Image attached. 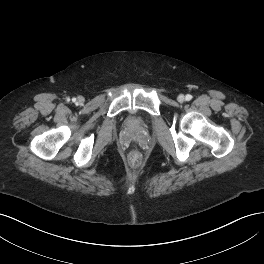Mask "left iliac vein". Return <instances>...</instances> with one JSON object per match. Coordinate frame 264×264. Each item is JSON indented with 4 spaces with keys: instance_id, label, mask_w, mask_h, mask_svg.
I'll list each match as a JSON object with an SVG mask.
<instances>
[{
    "instance_id": "1",
    "label": "left iliac vein",
    "mask_w": 264,
    "mask_h": 264,
    "mask_svg": "<svg viewBox=\"0 0 264 264\" xmlns=\"http://www.w3.org/2000/svg\"><path fill=\"white\" fill-rule=\"evenodd\" d=\"M177 100H178L180 103L184 102V101H185V97H184V95H183V94H180V95L177 97Z\"/></svg>"
}]
</instances>
